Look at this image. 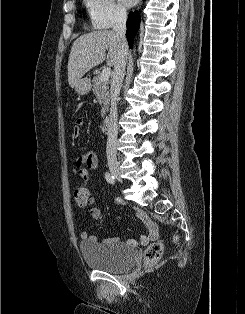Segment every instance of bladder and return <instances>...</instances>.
Returning <instances> with one entry per match:
<instances>
[{
    "label": "bladder",
    "instance_id": "31cf9c89",
    "mask_svg": "<svg viewBox=\"0 0 245 314\" xmlns=\"http://www.w3.org/2000/svg\"><path fill=\"white\" fill-rule=\"evenodd\" d=\"M79 249L87 265L107 272L127 269L137 259V251L121 242H83Z\"/></svg>",
    "mask_w": 245,
    "mask_h": 314
}]
</instances>
